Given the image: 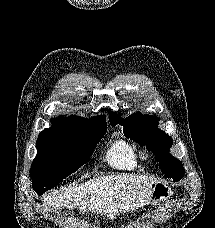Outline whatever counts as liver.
<instances>
[{
  "mask_svg": "<svg viewBox=\"0 0 215 228\" xmlns=\"http://www.w3.org/2000/svg\"><path fill=\"white\" fill-rule=\"evenodd\" d=\"M154 182V178L137 174L97 176L85 184L53 190L51 194H45L41 202L53 208H78L80 214L91 212L115 220L119 214H133L135 210L150 204Z\"/></svg>",
  "mask_w": 215,
  "mask_h": 228,
  "instance_id": "liver-1",
  "label": "liver"
}]
</instances>
